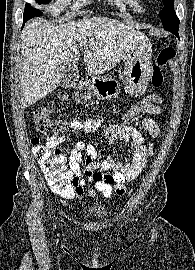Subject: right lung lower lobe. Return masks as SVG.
<instances>
[{"mask_svg": "<svg viewBox=\"0 0 195 270\" xmlns=\"http://www.w3.org/2000/svg\"><path fill=\"white\" fill-rule=\"evenodd\" d=\"M35 16H36V14H33V13H24V18H23L24 23H25L26 21H28L29 19L35 17ZM36 17H37V16H36ZM22 28H23V27H22Z\"/></svg>", "mask_w": 195, "mask_h": 270, "instance_id": "1", "label": "right lung lower lobe"}]
</instances>
